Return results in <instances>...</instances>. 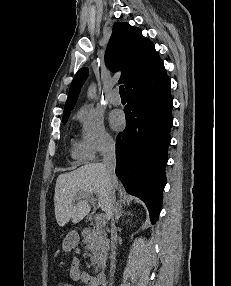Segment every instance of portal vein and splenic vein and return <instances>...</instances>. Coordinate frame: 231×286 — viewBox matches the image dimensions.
Segmentation results:
<instances>
[{
	"instance_id": "1",
	"label": "portal vein and splenic vein",
	"mask_w": 231,
	"mask_h": 286,
	"mask_svg": "<svg viewBox=\"0 0 231 286\" xmlns=\"http://www.w3.org/2000/svg\"><path fill=\"white\" fill-rule=\"evenodd\" d=\"M86 199H89L90 200V196H85ZM91 204L94 205L95 204V201L94 199H91L90 200ZM96 224L99 228H102L105 226L106 224V216L105 215H99L98 218H97V221H96Z\"/></svg>"
}]
</instances>
